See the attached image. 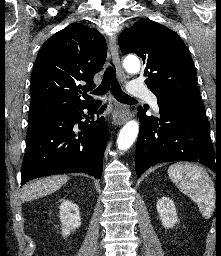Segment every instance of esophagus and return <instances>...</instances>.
Segmentation results:
<instances>
[{"instance_id":"1","label":"esophagus","mask_w":221,"mask_h":256,"mask_svg":"<svg viewBox=\"0 0 221 256\" xmlns=\"http://www.w3.org/2000/svg\"><path fill=\"white\" fill-rule=\"evenodd\" d=\"M108 46L111 53L112 60L115 64L118 77L121 81H125L126 76L125 73L121 67L119 53H118V46H117V40L115 35H111L108 38ZM113 123L115 125H122L131 117L130 109L126 106H120L118 104H115V108L113 110Z\"/></svg>"}]
</instances>
